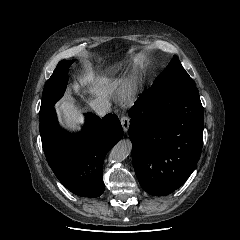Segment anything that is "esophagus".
Listing matches in <instances>:
<instances>
[{
  "label": "esophagus",
  "instance_id": "obj_1",
  "mask_svg": "<svg viewBox=\"0 0 240 240\" xmlns=\"http://www.w3.org/2000/svg\"><path fill=\"white\" fill-rule=\"evenodd\" d=\"M122 128L124 130V132H127L129 126H130V118L128 116H122L120 119Z\"/></svg>",
  "mask_w": 240,
  "mask_h": 240
}]
</instances>
